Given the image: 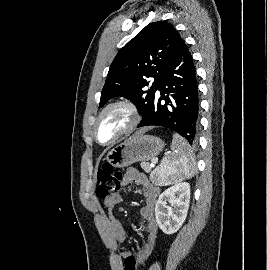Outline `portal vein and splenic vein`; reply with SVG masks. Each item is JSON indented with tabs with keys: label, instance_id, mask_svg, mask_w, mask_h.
<instances>
[{
	"label": "portal vein and splenic vein",
	"instance_id": "1",
	"mask_svg": "<svg viewBox=\"0 0 267 270\" xmlns=\"http://www.w3.org/2000/svg\"><path fill=\"white\" fill-rule=\"evenodd\" d=\"M158 162V159H152L151 160V166H154Z\"/></svg>",
	"mask_w": 267,
	"mask_h": 270
}]
</instances>
